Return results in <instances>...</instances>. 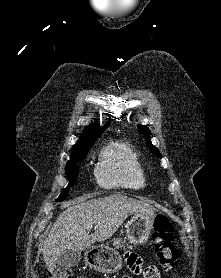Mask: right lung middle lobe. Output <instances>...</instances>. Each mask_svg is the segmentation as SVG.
I'll use <instances>...</instances> for the list:
<instances>
[{"instance_id":"dd1d6c3e","label":"right lung middle lobe","mask_w":221,"mask_h":278,"mask_svg":"<svg viewBox=\"0 0 221 278\" xmlns=\"http://www.w3.org/2000/svg\"><path fill=\"white\" fill-rule=\"evenodd\" d=\"M91 145L82 147L71 152V158L67 162L65 168L67 178L70 182H74L76 180L78 176V166L76 165V163L82 161L85 158ZM67 191L68 189H64V192L56 201H63L67 197Z\"/></svg>"}]
</instances>
